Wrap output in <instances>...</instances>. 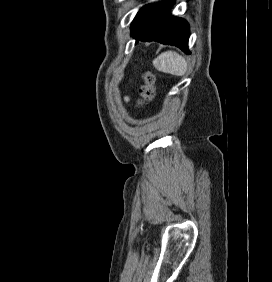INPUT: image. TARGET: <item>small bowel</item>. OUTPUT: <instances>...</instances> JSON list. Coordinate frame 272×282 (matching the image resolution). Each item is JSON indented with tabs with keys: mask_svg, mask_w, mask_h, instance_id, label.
<instances>
[{
	"mask_svg": "<svg viewBox=\"0 0 272 282\" xmlns=\"http://www.w3.org/2000/svg\"><path fill=\"white\" fill-rule=\"evenodd\" d=\"M126 100H129V97H128V96L126 97Z\"/></svg>",
	"mask_w": 272,
	"mask_h": 282,
	"instance_id": "c3829d8e",
	"label": "small bowel"
}]
</instances>
